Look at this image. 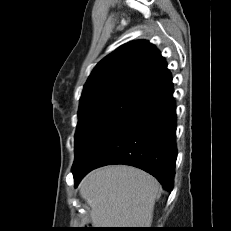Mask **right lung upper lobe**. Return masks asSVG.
Listing matches in <instances>:
<instances>
[{
	"label": "right lung upper lobe",
	"mask_w": 231,
	"mask_h": 231,
	"mask_svg": "<svg viewBox=\"0 0 231 231\" xmlns=\"http://www.w3.org/2000/svg\"><path fill=\"white\" fill-rule=\"evenodd\" d=\"M173 91L171 73L159 50L146 40H136L95 66L82 91L79 109L107 95L130 94L149 102Z\"/></svg>",
	"instance_id": "1"
}]
</instances>
